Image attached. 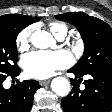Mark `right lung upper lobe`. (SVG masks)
I'll list each match as a JSON object with an SVG mask.
<instances>
[{
  "label": "right lung upper lobe",
  "instance_id": "cb5924a9",
  "mask_svg": "<svg viewBox=\"0 0 112 112\" xmlns=\"http://www.w3.org/2000/svg\"><path fill=\"white\" fill-rule=\"evenodd\" d=\"M5 16H8V15H3V16H0V22L2 21V19L5 17ZM25 16V15H24ZM25 18L27 19V21L32 24L36 21H39L37 20L38 17H29V16H25Z\"/></svg>",
  "mask_w": 112,
  "mask_h": 112
}]
</instances>
